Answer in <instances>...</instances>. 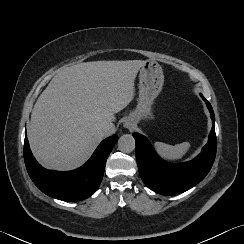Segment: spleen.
Returning <instances> with one entry per match:
<instances>
[{
  "label": "spleen",
  "instance_id": "spleen-1",
  "mask_svg": "<svg viewBox=\"0 0 244 244\" xmlns=\"http://www.w3.org/2000/svg\"><path fill=\"white\" fill-rule=\"evenodd\" d=\"M189 142H183L176 145H169L162 142H155L154 147L158 154L169 161H175L181 159L190 148Z\"/></svg>",
  "mask_w": 244,
  "mask_h": 244
}]
</instances>
